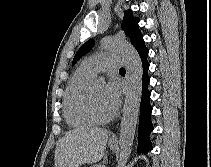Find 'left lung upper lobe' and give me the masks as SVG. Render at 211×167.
Instances as JSON below:
<instances>
[{"mask_svg":"<svg viewBox=\"0 0 211 167\" xmlns=\"http://www.w3.org/2000/svg\"><path fill=\"white\" fill-rule=\"evenodd\" d=\"M138 22L139 18L134 17L131 10L124 11L122 28L124 29L125 34L130 38L138 53L148 52V49L146 48L143 40V35L139 30ZM93 45V39L85 42L75 54L72 64H74L80 57L88 53L92 49Z\"/></svg>","mask_w":211,"mask_h":167,"instance_id":"5c2ea615","label":"left lung upper lobe"}]
</instances>
